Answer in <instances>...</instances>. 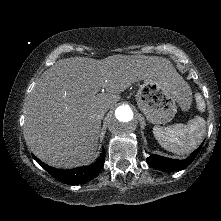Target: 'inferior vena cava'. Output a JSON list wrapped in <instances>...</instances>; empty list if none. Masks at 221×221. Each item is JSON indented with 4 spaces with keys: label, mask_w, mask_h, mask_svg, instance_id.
Returning a JSON list of instances; mask_svg holds the SVG:
<instances>
[{
    "label": "inferior vena cava",
    "mask_w": 221,
    "mask_h": 221,
    "mask_svg": "<svg viewBox=\"0 0 221 221\" xmlns=\"http://www.w3.org/2000/svg\"><path fill=\"white\" fill-rule=\"evenodd\" d=\"M106 109H102V110H100L99 112H98V114L96 115V117L98 118V119H103V117H104V115H105V113H106Z\"/></svg>",
    "instance_id": "obj_1"
}]
</instances>
